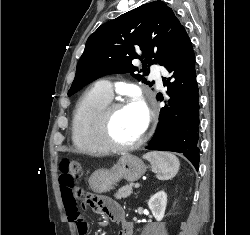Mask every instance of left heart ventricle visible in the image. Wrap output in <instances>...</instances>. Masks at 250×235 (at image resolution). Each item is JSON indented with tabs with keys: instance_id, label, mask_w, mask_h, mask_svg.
I'll use <instances>...</instances> for the list:
<instances>
[{
	"instance_id": "left-heart-ventricle-1",
	"label": "left heart ventricle",
	"mask_w": 250,
	"mask_h": 235,
	"mask_svg": "<svg viewBox=\"0 0 250 235\" xmlns=\"http://www.w3.org/2000/svg\"><path fill=\"white\" fill-rule=\"evenodd\" d=\"M110 131L117 143H131L143 132L141 118L131 106L122 108L115 113Z\"/></svg>"
}]
</instances>
